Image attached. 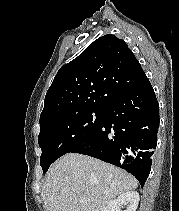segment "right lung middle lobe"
I'll return each mask as SVG.
<instances>
[{
	"label": "right lung middle lobe",
	"mask_w": 179,
	"mask_h": 211,
	"mask_svg": "<svg viewBox=\"0 0 179 211\" xmlns=\"http://www.w3.org/2000/svg\"><path fill=\"white\" fill-rule=\"evenodd\" d=\"M106 108H92L53 120L41 128L38 143L42 150L43 173L62 155L87 142L100 127Z\"/></svg>",
	"instance_id": "right-lung-middle-lobe-1"
}]
</instances>
